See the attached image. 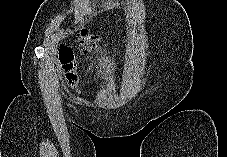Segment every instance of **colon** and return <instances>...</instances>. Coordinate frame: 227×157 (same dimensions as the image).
Listing matches in <instances>:
<instances>
[{
	"label": "colon",
	"mask_w": 227,
	"mask_h": 157,
	"mask_svg": "<svg viewBox=\"0 0 227 157\" xmlns=\"http://www.w3.org/2000/svg\"><path fill=\"white\" fill-rule=\"evenodd\" d=\"M79 41L84 47V52L88 53L94 48L97 37L89 33L87 30H82L79 35ZM59 59L67 83L71 86H76L78 83V64L73 51L70 48L62 47L59 51Z\"/></svg>",
	"instance_id": "1"
}]
</instances>
